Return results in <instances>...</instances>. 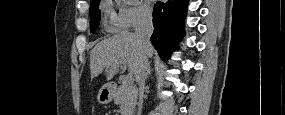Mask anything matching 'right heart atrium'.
I'll list each match as a JSON object with an SVG mask.
<instances>
[{"label":"right heart atrium","instance_id":"d8ad5b80","mask_svg":"<svg viewBox=\"0 0 285 115\" xmlns=\"http://www.w3.org/2000/svg\"><path fill=\"white\" fill-rule=\"evenodd\" d=\"M121 28L133 29L145 25L151 20V11L142 1H133L131 4L122 5L118 12Z\"/></svg>","mask_w":285,"mask_h":115}]
</instances>
